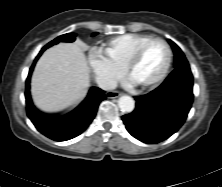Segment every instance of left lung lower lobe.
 I'll return each mask as SVG.
<instances>
[{
	"instance_id": "0a47b994",
	"label": "left lung lower lobe",
	"mask_w": 222,
	"mask_h": 187,
	"mask_svg": "<svg viewBox=\"0 0 222 187\" xmlns=\"http://www.w3.org/2000/svg\"><path fill=\"white\" fill-rule=\"evenodd\" d=\"M134 98V110L122 116L128 132L147 144L168 139L184 124L192 106L193 75L190 67L174 69L159 87Z\"/></svg>"
}]
</instances>
